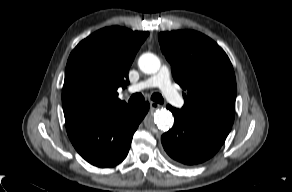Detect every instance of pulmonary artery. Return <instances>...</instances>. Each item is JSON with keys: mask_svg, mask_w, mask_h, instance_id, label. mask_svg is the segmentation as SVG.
<instances>
[{"mask_svg": "<svg viewBox=\"0 0 292 192\" xmlns=\"http://www.w3.org/2000/svg\"><path fill=\"white\" fill-rule=\"evenodd\" d=\"M159 88L164 97L174 106L182 107L184 105L183 98L174 89L171 84L170 70L166 65H163L160 70L153 76L143 80L137 84L131 85L128 88L129 92H139L148 88Z\"/></svg>", "mask_w": 292, "mask_h": 192, "instance_id": "pulmonary-artery-1", "label": "pulmonary artery"}]
</instances>
